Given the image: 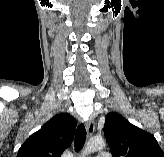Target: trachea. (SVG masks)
Returning a JSON list of instances; mask_svg holds the SVG:
<instances>
[{"label":"trachea","mask_w":164,"mask_h":157,"mask_svg":"<svg viewBox=\"0 0 164 157\" xmlns=\"http://www.w3.org/2000/svg\"><path fill=\"white\" fill-rule=\"evenodd\" d=\"M85 140H86V129L83 124H80L77 127L75 141H74L75 151L78 152L80 149H82V147L84 146Z\"/></svg>","instance_id":"1"}]
</instances>
